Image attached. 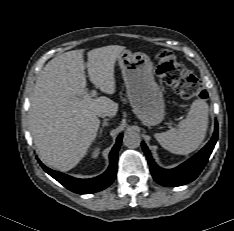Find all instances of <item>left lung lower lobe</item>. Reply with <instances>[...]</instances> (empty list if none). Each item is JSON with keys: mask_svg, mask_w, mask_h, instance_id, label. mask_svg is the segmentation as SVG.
I'll return each mask as SVG.
<instances>
[{"mask_svg": "<svg viewBox=\"0 0 234 231\" xmlns=\"http://www.w3.org/2000/svg\"><path fill=\"white\" fill-rule=\"evenodd\" d=\"M218 137V125H215V131L208 144L193 157L188 159L173 169H162L153 161L151 153L144 142L142 148L150 165V171L154 180L163 186L175 187L181 186L193 181L206 165L210 154L216 144Z\"/></svg>", "mask_w": 234, "mask_h": 231, "instance_id": "left-lung-lower-lobe-1", "label": "left lung lower lobe"}]
</instances>
